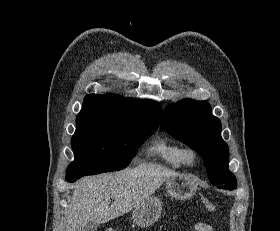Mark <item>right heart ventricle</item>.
I'll use <instances>...</instances> for the list:
<instances>
[{
    "mask_svg": "<svg viewBox=\"0 0 280 231\" xmlns=\"http://www.w3.org/2000/svg\"><path fill=\"white\" fill-rule=\"evenodd\" d=\"M183 148L184 146L180 142L158 134L147 144L144 157L160 161L165 166L173 169H181L184 167L181 159Z\"/></svg>",
    "mask_w": 280,
    "mask_h": 231,
    "instance_id": "1",
    "label": "right heart ventricle"
}]
</instances>
